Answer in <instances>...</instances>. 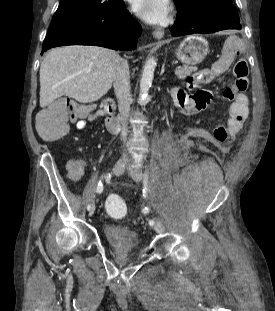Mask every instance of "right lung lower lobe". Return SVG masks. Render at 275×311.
<instances>
[{
	"mask_svg": "<svg viewBox=\"0 0 275 311\" xmlns=\"http://www.w3.org/2000/svg\"><path fill=\"white\" fill-rule=\"evenodd\" d=\"M141 26L125 3L108 12L66 20L50 26L42 52L62 45H96L115 50L136 48Z\"/></svg>",
	"mask_w": 275,
	"mask_h": 311,
	"instance_id": "98d812e1",
	"label": "right lung lower lobe"
}]
</instances>
